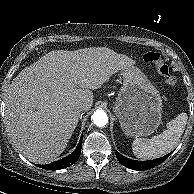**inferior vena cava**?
<instances>
[{"label": "inferior vena cava", "mask_w": 194, "mask_h": 194, "mask_svg": "<svg viewBox=\"0 0 194 194\" xmlns=\"http://www.w3.org/2000/svg\"><path fill=\"white\" fill-rule=\"evenodd\" d=\"M75 109L78 112H82L85 109V107H84L83 104H78V105L75 106Z\"/></svg>", "instance_id": "inferior-vena-cava-1"}]
</instances>
